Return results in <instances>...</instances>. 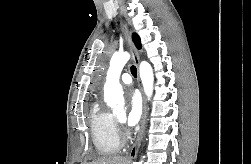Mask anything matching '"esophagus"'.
I'll use <instances>...</instances> for the list:
<instances>
[{
    "mask_svg": "<svg viewBox=\"0 0 251 164\" xmlns=\"http://www.w3.org/2000/svg\"><path fill=\"white\" fill-rule=\"evenodd\" d=\"M122 28H123V31L125 33L126 38L128 39L134 63L136 64V66L138 68L139 61H140L139 53L132 42L130 30L125 22H122ZM140 90H141L142 98H143V111H142V116H141V121H140V130H139L138 136L135 140V143L133 144V146L131 147V150L129 152V155H128L129 160H133L136 158L140 144H141V140L143 137L144 128H145L146 103H145V98L143 95L142 87H140Z\"/></svg>",
    "mask_w": 251,
    "mask_h": 164,
    "instance_id": "34e87169",
    "label": "esophagus"
}]
</instances>
